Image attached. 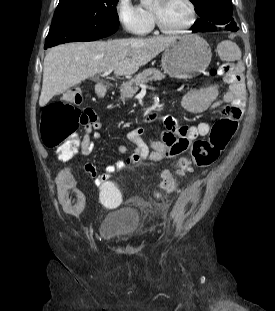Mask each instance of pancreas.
<instances>
[{
    "mask_svg": "<svg viewBox=\"0 0 275 311\" xmlns=\"http://www.w3.org/2000/svg\"><path fill=\"white\" fill-rule=\"evenodd\" d=\"M165 78V75L158 69L150 68L137 74L133 79L122 84L120 95L121 100L133 97L139 89V84H146L149 81H160Z\"/></svg>",
    "mask_w": 275,
    "mask_h": 311,
    "instance_id": "obj_1",
    "label": "pancreas"
}]
</instances>
